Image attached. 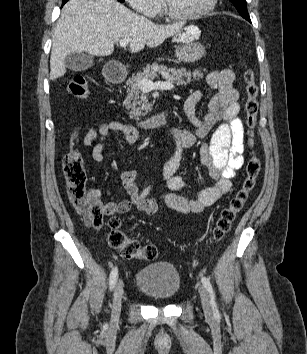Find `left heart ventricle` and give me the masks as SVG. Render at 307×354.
Segmentation results:
<instances>
[{
	"label": "left heart ventricle",
	"instance_id": "b2bd125f",
	"mask_svg": "<svg viewBox=\"0 0 307 354\" xmlns=\"http://www.w3.org/2000/svg\"><path fill=\"white\" fill-rule=\"evenodd\" d=\"M209 0H167L170 7L181 14L195 13L202 10Z\"/></svg>",
	"mask_w": 307,
	"mask_h": 354
}]
</instances>
